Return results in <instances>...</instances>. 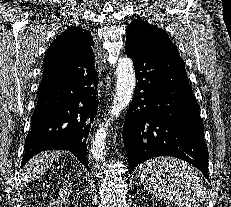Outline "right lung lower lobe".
Returning a JSON list of instances; mask_svg holds the SVG:
<instances>
[{
    "instance_id": "obj_1",
    "label": "right lung lower lobe",
    "mask_w": 231,
    "mask_h": 207,
    "mask_svg": "<svg viewBox=\"0 0 231 207\" xmlns=\"http://www.w3.org/2000/svg\"><path fill=\"white\" fill-rule=\"evenodd\" d=\"M83 62L86 68L72 71L44 68L21 167L36 154L54 149L69 150L90 171L86 142L97 113L99 79L94 57Z\"/></svg>"
}]
</instances>
